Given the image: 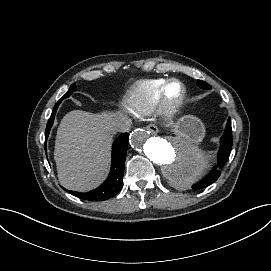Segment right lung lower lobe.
Masks as SVG:
<instances>
[{
  "label": "right lung lower lobe",
  "mask_w": 271,
  "mask_h": 271,
  "mask_svg": "<svg viewBox=\"0 0 271 271\" xmlns=\"http://www.w3.org/2000/svg\"><path fill=\"white\" fill-rule=\"evenodd\" d=\"M60 103H57L53 109L52 115L48 120L46 131H45V151L46 141L49 135L51 126L54 122L56 110ZM128 133L121 134L113 143L112 147V164L111 170L106 181L97 189L80 193L76 191H67L70 194L88 201H104L114 197L120 190L124 174L125 158L128 148Z\"/></svg>",
  "instance_id": "right-lung-lower-lobe-1"
}]
</instances>
